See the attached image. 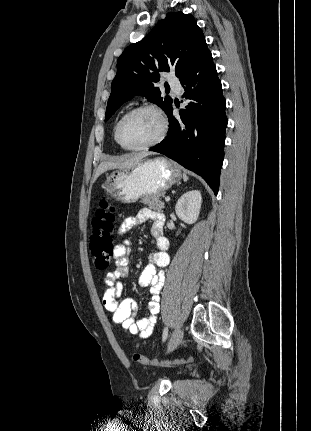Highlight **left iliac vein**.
I'll use <instances>...</instances> for the list:
<instances>
[{"mask_svg": "<svg viewBox=\"0 0 311 431\" xmlns=\"http://www.w3.org/2000/svg\"><path fill=\"white\" fill-rule=\"evenodd\" d=\"M183 330L180 328H177L174 330L167 347V352H172L174 349L177 348V346L181 343L183 339Z\"/></svg>", "mask_w": 311, "mask_h": 431, "instance_id": "obj_1", "label": "left iliac vein"}]
</instances>
